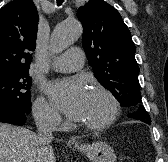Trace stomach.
Here are the masks:
<instances>
[{
	"label": "stomach",
	"instance_id": "0dacf381",
	"mask_svg": "<svg viewBox=\"0 0 168 162\" xmlns=\"http://www.w3.org/2000/svg\"><path fill=\"white\" fill-rule=\"evenodd\" d=\"M92 162H116L114 150L104 142H96L91 145L77 147Z\"/></svg>",
	"mask_w": 168,
	"mask_h": 162
}]
</instances>
